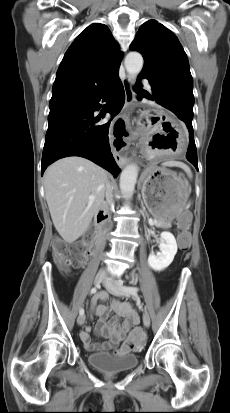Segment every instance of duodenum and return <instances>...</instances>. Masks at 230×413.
<instances>
[{
  "label": "duodenum",
  "mask_w": 230,
  "mask_h": 413,
  "mask_svg": "<svg viewBox=\"0 0 230 413\" xmlns=\"http://www.w3.org/2000/svg\"><path fill=\"white\" fill-rule=\"evenodd\" d=\"M107 221L108 211L105 208H101L96 214V223L99 227H103L107 223Z\"/></svg>",
  "instance_id": "1"
}]
</instances>
